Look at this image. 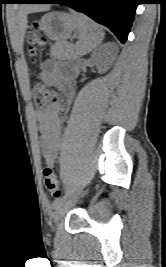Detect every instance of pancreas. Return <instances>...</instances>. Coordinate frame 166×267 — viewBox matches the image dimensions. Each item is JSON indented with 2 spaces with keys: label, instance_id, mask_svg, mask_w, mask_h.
Wrapping results in <instances>:
<instances>
[{
  "label": "pancreas",
  "instance_id": "1",
  "mask_svg": "<svg viewBox=\"0 0 166 267\" xmlns=\"http://www.w3.org/2000/svg\"><path fill=\"white\" fill-rule=\"evenodd\" d=\"M51 54L60 60L70 59L75 56L73 46L65 42H57L51 47Z\"/></svg>",
  "mask_w": 166,
  "mask_h": 267
}]
</instances>
